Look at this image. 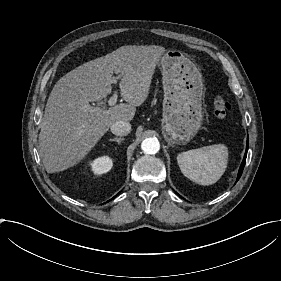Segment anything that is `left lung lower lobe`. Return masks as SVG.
I'll return each mask as SVG.
<instances>
[{"label":"left lung lower lobe","instance_id":"1","mask_svg":"<svg viewBox=\"0 0 281 281\" xmlns=\"http://www.w3.org/2000/svg\"><path fill=\"white\" fill-rule=\"evenodd\" d=\"M248 144H249V139L247 138V146H246V151H245V155H244V159L241 163V166H240V169H239V172H238V177H237V181L239 180L241 174H242V171H243V168H244V165H245V162H246V156H247V150H248Z\"/></svg>","mask_w":281,"mask_h":281}]
</instances>
